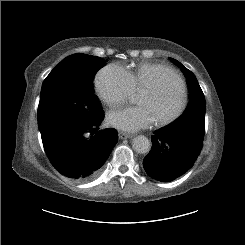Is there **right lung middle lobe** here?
Returning <instances> with one entry per match:
<instances>
[{"label": "right lung middle lobe", "mask_w": 245, "mask_h": 245, "mask_svg": "<svg viewBox=\"0 0 245 245\" xmlns=\"http://www.w3.org/2000/svg\"><path fill=\"white\" fill-rule=\"evenodd\" d=\"M103 59L73 54L63 59L43 82L38 125L44 138L59 128L82 126L102 115L92 79Z\"/></svg>", "instance_id": "right-lung-middle-lobe-1"}]
</instances>
